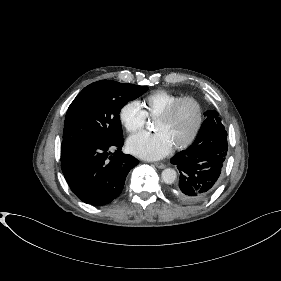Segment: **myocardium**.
<instances>
[{"label": "myocardium", "mask_w": 281, "mask_h": 281, "mask_svg": "<svg viewBox=\"0 0 281 281\" xmlns=\"http://www.w3.org/2000/svg\"><path fill=\"white\" fill-rule=\"evenodd\" d=\"M185 102H191L195 105L196 112H197V119H196V124H195V127H194L192 133L185 140H183L182 142L173 146V148L176 150H182V149L187 148L197 138V136L201 130L202 124H203L204 110H203V106H202L201 102L199 101L198 98H196L194 96H183V97H180L179 99H177L176 101H174L173 103H171L169 106H167L163 111H161L155 117L156 119L166 120L175 112V110L181 104H183Z\"/></svg>", "instance_id": "f54148a6"}]
</instances>
